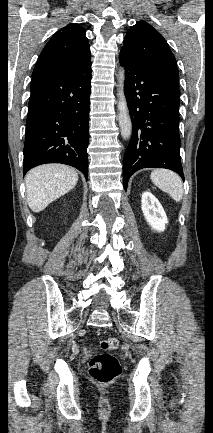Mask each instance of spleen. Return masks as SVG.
<instances>
[{
    "mask_svg": "<svg viewBox=\"0 0 213 433\" xmlns=\"http://www.w3.org/2000/svg\"><path fill=\"white\" fill-rule=\"evenodd\" d=\"M150 178L159 189L169 194L176 202L182 200V181L176 173L166 169H156L151 173Z\"/></svg>",
    "mask_w": 213,
    "mask_h": 433,
    "instance_id": "obj_1",
    "label": "spleen"
}]
</instances>
